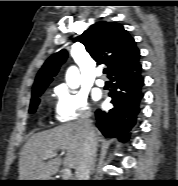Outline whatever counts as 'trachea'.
Segmentation results:
<instances>
[{"instance_id": "obj_1", "label": "trachea", "mask_w": 178, "mask_h": 186, "mask_svg": "<svg viewBox=\"0 0 178 186\" xmlns=\"http://www.w3.org/2000/svg\"><path fill=\"white\" fill-rule=\"evenodd\" d=\"M107 71H108L107 69H104V70H103V73H104V74H106V73H107Z\"/></svg>"}]
</instances>
